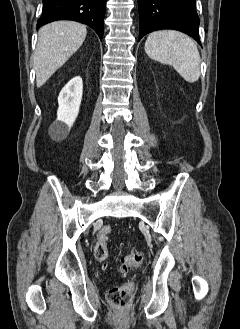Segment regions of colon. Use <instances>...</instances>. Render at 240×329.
<instances>
[{
	"label": "colon",
	"mask_w": 240,
	"mask_h": 329,
	"mask_svg": "<svg viewBox=\"0 0 240 329\" xmlns=\"http://www.w3.org/2000/svg\"><path fill=\"white\" fill-rule=\"evenodd\" d=\"M110 225L103 226L97 234V243L94 249L96 259L105 263L108 257L106 244L111 234ZM144 256L140 251H132L121 257L123 272H129L137 268L143 261ZM134 285L131 281H126L109 289L107 299L109 303L123 310H128L133 302Z\"/></svg>",
	"instance_id": "1"
}]
</instances>
